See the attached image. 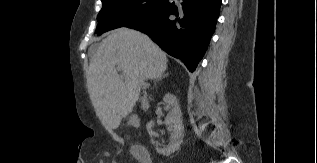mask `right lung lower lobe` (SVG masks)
Returning <instances> with one entry per match:
<instances>
[{
    "mask_svg": "<svg viewBox=\"0 0 317 163\" xmlns=\"http://www.w3.org/2000/svg\"><path fill=\"white\" fill-rule=\"evenodd\" d=\"M222 0H166L125 27L147 34L193 72L207 50Z\"/></svg>",
    "mask_w": 317,
    "mask_h": 163,
    "instance_id": "98d812e1",
    "label": "right lung lower lobe"
}]
</instances>
